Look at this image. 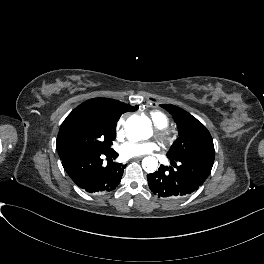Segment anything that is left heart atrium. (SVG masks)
Listing matches in <instances>:
<instances>
[{
  "label": "left heart atrium",
  "mask_w": 264,
  "mask_h": 264,
  "mask_svg": "<svg viewBox=\"0 0 264 264\" xmlns=\"http://www.w3.org/2000/svg\"><path fill=\"white\" fill-rule=\"evenodd\" d=\"M121 153L123 156H131V155H137L138 154V152L135 149H130L128 147H124L121 150Z\"/></svg>",
  "instance_id": "1"
}]
</instances>
